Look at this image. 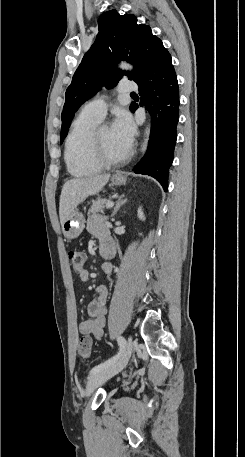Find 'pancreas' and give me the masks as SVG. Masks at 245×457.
<instances>
[{
	"instance_id": "1",
	"label": "pancreas",
	"mask_w": 245,
	"mask_h": 457,
	"mask_svg": "<svg viewBox=\"0 0 245 457\" xmlns=\"http://www.w3.org/2000/svg\"><path fill=\"white\" fill-rule=\"evenodd\" d=\"M106 202H110L109 198H96V200H92V206L88 210V214H95V212H101L103 210Z\"/></svg>"
}]
</instances>
